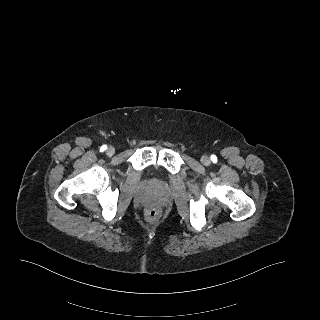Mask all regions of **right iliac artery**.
<instances>
[{"label":"right iliac artery","mask_w":320,"mask_h":320,"mask_svg":"<svg viewBox=\"0 0 320 320\" xmlns=\"http://www.w3.org/2000/svg\"><path fill=\"white\" fill-rule=\"evenodd\" d=\"M107 149V146L106 145H103V146H101V148H100V151H105Z\"/></svg>","instance_id":"obj_1"}]
</instances>
